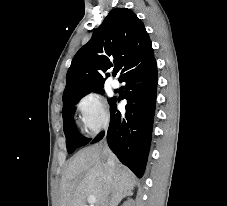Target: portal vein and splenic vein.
<instances>
[{
    "label": "portal vein and splenic vein",
    "mask_w": 227,
    "mask_h": 206,
    "mask_svg": "<svg viewBox=\"0 0 227 206\" xmlns=\"http://www.w3.org/2000/svg\"><path fill=\"white\" fill-rule=\"evenodd\" d=\"M87 200H88V202H89L90 204H95V202H96V197L93 196V195H89L88 198H87ZM91 206H93V205H91Z\"/></svg>",
    "instance_id": "18ae733b"
}]
</instances>
